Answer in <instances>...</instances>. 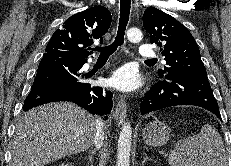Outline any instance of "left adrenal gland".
Here are the masks:
<instances>
[{"mask_svg": "<svg viewBox=\"0 0 231 166\" xmlns=\"http://www.w3.org/2000/svg\"><path fill=\"white\" fill-rule=\"evenodd\" d=\"M146 161H152L150 157L147 156L145 152H143V161H142V166L146 163Z\"/></svg>", "mask_w": 231, "mask_h": 166, "instance_id": "1", "label": "left adrenal gland"}]
</instances>
